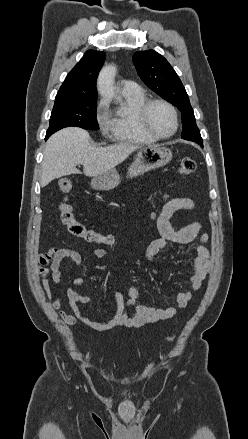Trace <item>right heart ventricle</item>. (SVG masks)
Wrapping results in <instances>:
<instances>
[{
  "label": "right heart ventricle",
  "mask_w": 248,
  "mask_h": 439,
  "mask_svg": "<svg viewBox=\"0 0 248 439\" xmlns=\"http://www.w3.org/2000/svg\"><path fill=\"white\" fill-rule=\"evenodd\" d=\"M123 103L110 118V134L120 143L147 145L157 141L141 126L138 110L147 96L141 88L132 93L122 92Z\"/></svg>",
  "instance_id": "right-heart-ventricle-1"
}]
</instances>
